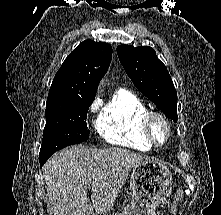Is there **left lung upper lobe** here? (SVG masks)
Listing matches in <instances>:
<instances>
[{"instance_id":"obj_1","label":"left lung upper lobe","mask_w":221,"mask_h":215,"mask_svg":"<svg viewBox=\"0 0 221 215\" xmlns=\"http://www.w3.org/2000/svg\"><path fill=\"white\" fill-rule=\"evenodd\" d=\"M117 54L127 75L171 120L177 122V92L166 66L149 46L120 45Z\"/></svg>"}]
</instances>
